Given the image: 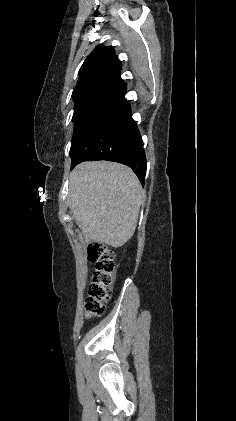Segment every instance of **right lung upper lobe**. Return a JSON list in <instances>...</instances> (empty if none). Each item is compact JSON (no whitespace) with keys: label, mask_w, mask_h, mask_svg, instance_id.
<instances>
[{"label":"right lung upper lobe","mask_w":236,"mask_h":421,"mask_svg":"<svg viewBox=\"0 0 236 421\" xmlns=\"http://www.w3.org/2000/svg\"><path fill=\"white\" fill-rule=\"evenodd\" d=\"M121 62L112 47L97 46L87 57L79 71V79L72 96L86 91L107 87L122 86L120 77Z\"/></svg>","instance_id":"obj_1"}]
</instances>
